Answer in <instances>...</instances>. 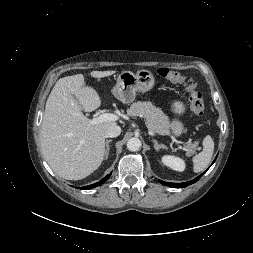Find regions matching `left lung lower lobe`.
Wrapping results in <instances>:
<instances>
[{
    "label": "left lung lower lobe",
    "instance_id": "1",
    "mask_svg": "<svg viewBox=\"0 0 253 253\" xmlns=\"http://www.w3.org/2000/svg\"><path fill=\"white\" fill-rule=\"evenodd\" d=\"M204 173H205V172H204ZM204 173H203V174H204ZM203 174L199 175L198 177H196L195 179H193V180H191V181H189V182H184V183H170V182L160 181V183L163 184V185L169 186V187H173V188H184V187H187L188 185H191V184L197 182Z\"/></svg>",
    "mask_w": 253,
    "mask_h": 253
}]
</instances>
